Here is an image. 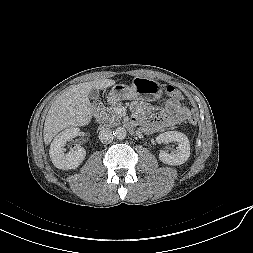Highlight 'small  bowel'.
I'll return each mask as SVG.
<instances>
[{
	"label": "small bowel",
	"mask_w": 253,
	"mask_h": 253,
	"mask_svg": "<svg viewBox=\"0 0 253 253\" xmlns=\"http://www.w3.org/2000/svg\"><path fill=\"white\" fill-rule=\"evenodd\" d=\"M134 118L130 127L142 126L147 133H158L185 121L190 111L180 100L168 99L159 114L153 115L154 108L144 102L134 101L131 104Z\"/></svg>",
	"instance_id": "1"
}]
</instances>
